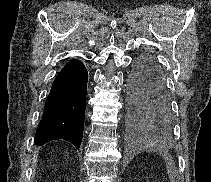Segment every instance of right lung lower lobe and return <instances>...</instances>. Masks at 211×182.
<instances>
[{
    "instance_id": "obj_1",
    "label": "right lung lower lobe",
    "mask_w": 211,
    "mask_h": 182,
    "mask_svg": "<svg viewBox=\"0 0 211 182\" xmlns=\"http://www.w3.org/2000/svg\"><path fill=\"white\" fill-rule=\"evenodd\" d=\"M87 70L79 60H70L56 76L47 97L35 144L42 146L64 139L77 149L84 129Z\"/></svg>"
}]
</instances>
